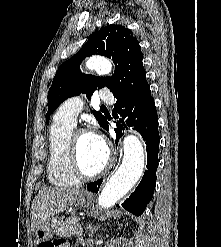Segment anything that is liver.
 <instances>
[{"instance_id": "6515ba94", "label": "liver", "mask_w": 221, "mask_h": 247, "mask_svg": "<svg viewBox=\"0 0 221 247\" xmlns=\"http://www.w3.org/2000/svg\"><path fill=\"white\" fill-rule=\"evenodd\" d=\"M80 193L79 188H42L32 204V230L74 204Z\"/></svg>"}]
</instances>
